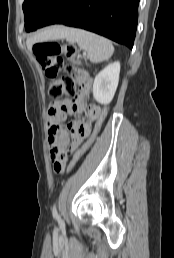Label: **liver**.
<instances>
[{
	"instance_id": "obj_1",
	"label": "liver",
	"mask_w": 174,
	"mask_h": 258,
	"mask_svg": "<svg viewBox=\"0 0 174 258\" xmlns=\"http://www.w3.org/2000/svg\"><path fill=\"white\" fill-rule=\"evenodd\" d=\"M63 27L48 28L37 35L33 39L28 40V44L31 45L34 42L45 41L50 39H56L61 37V31Z\"/></svg>"
}]
</instances>
